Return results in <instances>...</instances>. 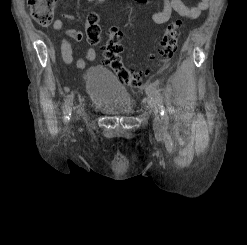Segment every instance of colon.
Returning a JSON list of instances; mask_svg holds the SVG:
<instances>
[{
    "instance_id": "obj_1",
    "label": "colon",
    "mask_w": 247,
    "mask_h": 245,
    "mask_svg": "<svg viewBox=\"0 0 247 245\" xmlns=\"http://www.w3.org/2000/svg\"><path fill=\"white\" fill-rule=\"evenodd\" d=\"M32 18L42 26H48L54 18L56 0H27ZM99 14L90 12L86 17V37L91 45H98L101 36ZM181 20L172 21L158 42L148 65L140 71L128 69L122 61L123 45L120 38L110 34L104 47V63L110 67L115 75L125 84L133 87L141 86L151 71L164 65L177 51V43L181 34Z\"/></svg>"
}]
</instances>
